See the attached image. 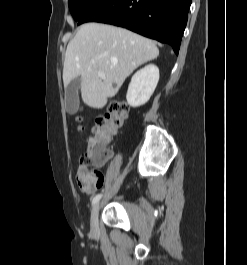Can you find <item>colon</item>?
Returning <instances> with one entry per match:
<instances>
[{
    "label": "colon",
    "instance_id": "1",
    "mask_svg": "<svg viewBox=\"0 0 247 265\" xmlns=\"http://www.w3.org/2000/svg\"><path fill=\"white\" fill-rule=\"evenodd\" d=\"M128 112L125 103L114 101L109 105L107 114L97 118L95 126L87 136L86 152L81 158L82 167L88 174L101 175L100 168L112 155L109 146L124 128ZM79 130H83V127L79 126Z\"/></svg>",
    "mask_w": 247,
    "mask_h": 265
}]
</instances>
